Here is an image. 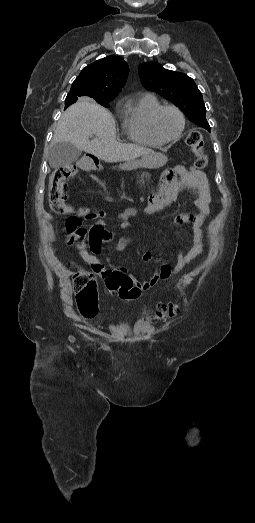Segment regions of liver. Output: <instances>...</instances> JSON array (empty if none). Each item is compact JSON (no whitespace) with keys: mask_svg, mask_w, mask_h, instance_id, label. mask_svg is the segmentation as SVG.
Listing matches in <instances>:
<instances>
[{"mask_svg":"<svg viewBox=\"0 0 255 523\" xmlns=\"http://www.w3.org/2000/svg\"><path fill=\"white\" fill-rule=\"evenodd\" d=\"M90 136H94V140H89ZM57 142H70L78 150L93 154L104 162H130L140 156L147 158L154 168H161L168 162L164 154H156L149 148H141L136 144H119L112 114L90 98H80L63 112L51 146Z\"/></svg>","mask_w":255,"mask_h":523,"instance_id":"obj_1","label":"liver"}]
</instances>
